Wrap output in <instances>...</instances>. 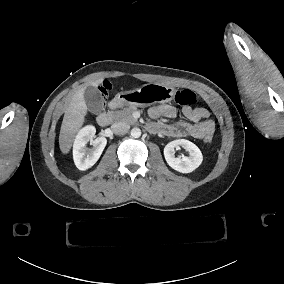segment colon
<instances>
[{
	"label": "colon",
	"instance_id": "obj_1",
	"mask_svg": "<svg viewBox=\"0 0 284 284\" xmlns=\"http://www.w3.org/2000/svg\"><path fill=\"white\" fill-rule=\"evenodd\" d=\"M176 100H177L179 105H181L183 107H189V106L194 104V102L196 100V95H195L193 90H191L189 88H183V89L178 91V93L176 95ZM205 141L210 142L211 137L207 136L205 138Z\"/></svg>",
	"mask_w": 284,
	"mask_h": 284
}]
</instances>
